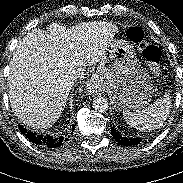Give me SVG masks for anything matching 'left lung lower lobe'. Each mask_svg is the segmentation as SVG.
Here are the masks:
<instances>
[{"instance_id":"left-lung-lower-lobe-1","label":"left lung lower lobe","mask_w":183,"mask_h":183,"mask_svg":"<svg viewBox=\"0 0 183 183\" xmlns=\"http://www.w3.org/2000/svg\"><path fill=\"white\" fill-rule=\"evenodd\" d=\"M111 135L117 142L124 146H135L141 142L140 138L123 137L119 132L115 130L114 127H111Z\"/></svg>"}]
</instances>
